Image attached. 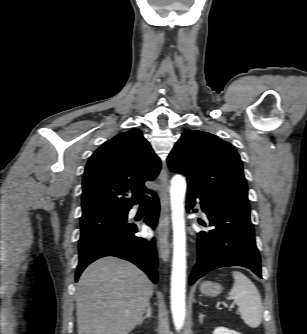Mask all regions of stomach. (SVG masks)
<instances>
[{
  "instance_id": "0dacf381",
  "label": "stomach",
  "mask_w": 307,
  "mask_h": 334,
  "mask_svg": "<svg viewBox=\"0 0 307 334\" xmlns=\"http://www.w3.org/2000/svg\"><path fill=\"white\" fill-rule=\"evenodd\" d=\"M222 290V287L218 283L213 282H203L200 286V291L202 294L206 296H216Z\"/></svg>"
}]
</instances>
